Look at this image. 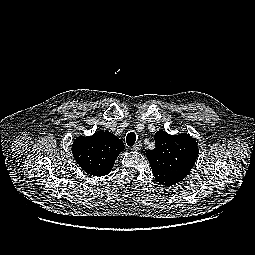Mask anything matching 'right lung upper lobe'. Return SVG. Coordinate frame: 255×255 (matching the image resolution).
Wrapping results in <instances>:
<instances>
[{"label": "right lung upper lobe", "mask_w": 255, "mask_h": 255, "mask_svg": "<svg viewBox=\"0 0 255 255\" xmlns=\"http://www.w3.org/2000/svg\"><path fill=\"white\" fill-rule=\"evenodd\" d=\"M124 149L121 139L108 131L77 137L72 144V153L77 164L92 176L110 173L117 156Z\"/></svg>", "instance_id": "obj_1"}]
</instances>
